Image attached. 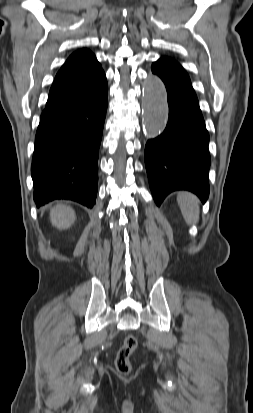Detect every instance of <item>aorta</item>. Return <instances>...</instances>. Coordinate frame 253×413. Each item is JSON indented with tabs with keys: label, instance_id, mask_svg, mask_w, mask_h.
<instances>
[{
	"label": "aorta",
	"instance_id": "1",
	"mask_svg": "<svg viewBox=\"0 0 253 413\" xmlns=\"http://www.w3.org/2000/svg\"><path fill=\"white\" fill-rule=\"evenodd\" d=\"M142 120L147 138H155L166 127L168 120L167 92L158 77H149L144 82Z\"/></svg>",
	"mask_w": 253,
	"mask_h": 413
}]
</instances>
